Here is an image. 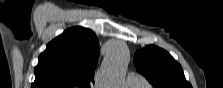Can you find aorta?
I'll use <instances>...</instances> for the list:
<instances>
[{"instance_id":"aorta-1","label":"aorta","mask_w":223,"mask_h":88,"mask_svg":"<svg viewBox=\"0 0 223 88\" xmlns=\"http://www.w3.org/2000/svg\"><path fill=\"white\" fill-rule=\"evenodd\" d=\"M130 52L126 44L116 42L107 53L102 65V81L105 88H121Z\"/></svg>"}]
</instances>
